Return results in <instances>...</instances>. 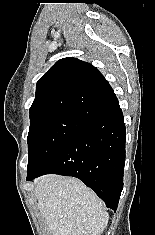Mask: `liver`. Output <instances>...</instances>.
Instances as JSON below:
<instances>
[{"label": "liver", "instance_id": "obj_1", "mask_svg": "<svg viewBox=\"0 0 155 235\" xmlns=\"http://www.w3.org/2000/svg\"><path fill=\"white\" fill-rule=\"evenodd\" d=\"M35 196L52 235H100L107 226L109 214L102 200L76 178L40 177Z\"/></svg>", "mask_w": 155, "mask_h": 235}]
</instances>
